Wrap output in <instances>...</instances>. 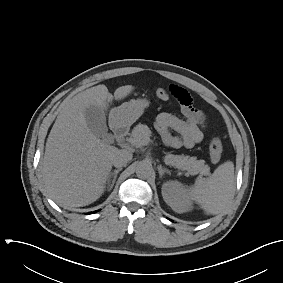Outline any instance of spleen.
<instances>
[{
	"instance_id": "3e777b00",
	"label": "spleen",
	"mask_w": 283,
	"mask_h": 283,
	"mask_svg": "<svg viewBox=\"0 0 283 283\" xmlns=\"http://www.w3.org/2000/svg\"><path fill=\"white\" fill-rule=\"evenodd\" d=\"M235 185L234 164L226 161L206 179H199L187 190V195L207 214H219L232 199Z\"/></svg>"
}]
</instances>
